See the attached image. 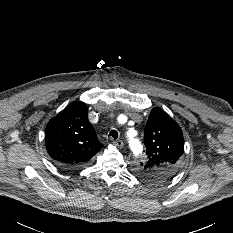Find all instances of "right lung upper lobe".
Here are the masks:
<instances>
[{"label": "right lung upper lobe", "mask_w": 233, "mask_h": 233, "mask_svg": "<svg viewBox=\"0 0 233 233\" xmlns=\"http://www.w3.org/2000/svg\"><path fill=\"white\" fill-rule=\"evenodd\" d=\"M45 141L48 154L66 169L86 166L103 146L88 120L87 105L79 101L49 121Z\"/></svg>", "instance_id": "cb5924a9"}]
</instances>
